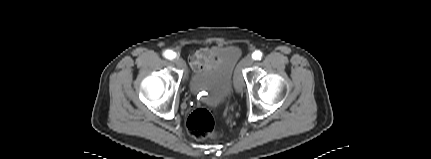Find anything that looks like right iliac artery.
Wrapping results in <instances>:
<instances>
[{"label":"right iliac artery","mask_w":431,"mask_h":159,"mask_svg":"<svg viewBox=\"0 0 431 159\" xmlns=\"http://www.w3.org/2000/svg\"><path fill=\"white\" fill-rule=\"evenodd\" d=\"M163 55L168 59H174L176 57V53L171 50H166Z\"/></svg>","instance_id":"1"}]
</instances>
